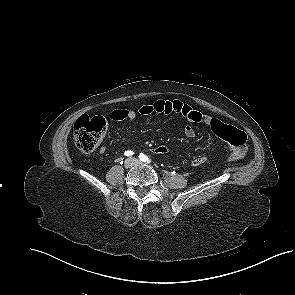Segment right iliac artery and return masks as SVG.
Listing matches in <instances>:
<instances>
[{"instance_id":"obj_1","label":"right iliac artery","mask_w":295,"mask_h":295,"mask_svg":"<svg viewBox=\"0 0 295 295\" xmlns=\"http://www.w3.org/2000/svg\"><path fill=\"white\" fill-rule=\"evenodd\" d=\"M125 156H132L133 152L131 150L125 151Z\"/></svg>"}]
</instances>
